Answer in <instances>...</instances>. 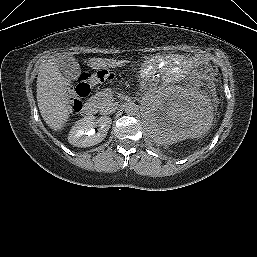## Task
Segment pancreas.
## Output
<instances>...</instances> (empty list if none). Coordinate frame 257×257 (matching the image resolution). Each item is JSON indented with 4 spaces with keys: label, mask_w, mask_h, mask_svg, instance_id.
I'll return each instance as SVG.
<instances>
[{
    "label": "pancreas",
    "mask_w": 257,
    "mask_h": 257,
    "mask_svg": "<svg viewBox=\"0 0 257 257\" xmlns=\"http://www.w3.org/2000/svg\"><path fill=\"white\" fill-rule=\"evenodd\" d=\"M90 103L101 110L108 102L112 101V90L110 88L97 92L89 99Z\"/></svg>",
    "instance_id": "pancreas-1"
}]
</instances>
